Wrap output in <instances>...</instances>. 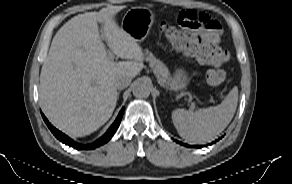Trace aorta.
Wrapping results in <instances>:
<instances>
[{
    "instance_id": "762f6f07",
    "label": "aorta",
    "mask_w": 292,
    "mask_h": 184,
    "mask_svg": "<svg viewBox=\"0 0 292 184\" xmlns=\"http://www.w3.org/2000/svg\"><path fill=\"white\" fill-rule=\"evenodd\" d=\"M132 91L137 98H147L151 93V87L148 82L138 80L134 83Z\"/></svg>"
}]
</instances>
